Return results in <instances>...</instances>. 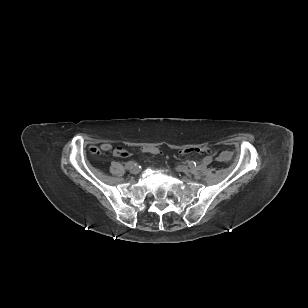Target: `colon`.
<instances>
[{"instance_id":"1","label":"colon","mask_w":308,"mask_h":308,"mask_svg":"<svg viewBox=\"0 0 308 308\" xmlns=\"http://www.w3.org/2000/svg\"><path fill=\"white\" fill-rule=\"evenodd\" d=\"M142 152H146V153H153L156 154L158 153V150L156 148H150V147H141L140 148ZM95 153H100V151L98 149H94ZM206 152H209V148L207 147H195V148H187L183 150L184 154H204ZM114 155L117 157H126L128 156V152L123 149V148H116L113 151Z\"/></svg>"}]
</instances>
